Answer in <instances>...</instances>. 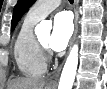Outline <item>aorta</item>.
Masks as SVG:
<instances>
[{
  "label": "aorta",
  "instance_id": "aorta-1",
  "mask_svg": "<svg viewBox=\"0 0 107 89\" xmlns=\"http://www.w3.org/2000/svg\"><path fill=\"white\" fill-rule=\"evenodd\" d=\"M51 29L50 22L41 21L36 26L35 32L36 34H49ZM78 50V45H74L71 49L61 73L58 89H72L78 66Z\"/></svg>",
  "mask_w": 107,
  "mask_h": 89
}]
</instances>
